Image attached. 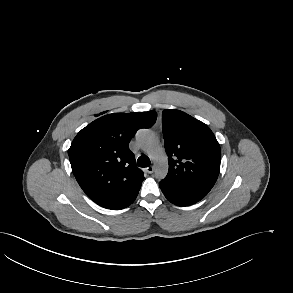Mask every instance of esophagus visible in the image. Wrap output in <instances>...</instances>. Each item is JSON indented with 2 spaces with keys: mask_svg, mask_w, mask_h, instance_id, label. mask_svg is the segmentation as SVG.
<instances>
[{
  "mask_svg": "<svg viewBox=\"0 0 293 293\" xmlns=\"http://www.w3.org/2000/svg\"><path fill=\"white\" fill-rule=\"evenodd\" d=\"M146 172L149 173V174H152L154 172V167L153 166L147 167Z\"/></svg>",
  "mask_w": 293,
  "mask_h": 293,
  "instance_id": "esophagus-1",
  "label": "esophagus"
}]
</instances>
